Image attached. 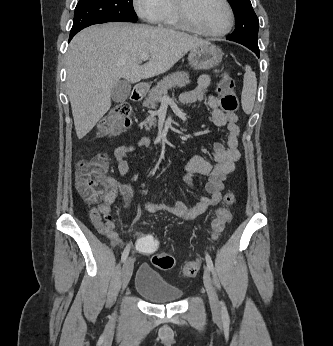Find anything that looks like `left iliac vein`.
I'll list each match as a JSON object with an SVG mask.
<instances>
[{
    "label": "left iliac vein",
    "instance_id": "obj_1",
    "mask_svg": "<svg viewBox=\"0 0 333 346\" xmlns=\"http://www.w3.org/2000/svg\"><path fill=\"white\" fill-rule=\"evenodd\" d=\"M203 281H204V286L208 294L211 309L214 314L220 315L221 313L220 301L218 299L216 290L213 286L210 271L207 268H205L204 270Z\"/></svg>",
    "mask_w": 333,
    "mask_h": 346
}]
</instances>
